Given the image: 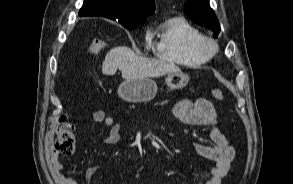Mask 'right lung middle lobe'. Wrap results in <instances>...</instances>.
I'll use <instances>...</instances> for the list:
<instances>
[{
    "label": "right lung middle lobe",
    "mask_w": 293,
    "mask_h": 184,
    "mask_svg": "<svg viewBox=\"0 0 293 184\" xmlns=\"http://www.w3.org/2000/svg\"><path fill=\"white\" fill-rule=\"evenodd\" d=\"M142 21L139 22H128V23H122V25L127 29H133L136 28L139 24H141Z\"/></svg>",
    "instance_id": "dd1d6c3e"
}]
</instances>
